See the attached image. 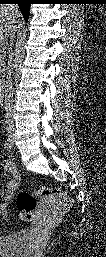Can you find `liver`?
Wrapping results in <instances>:
<instances>
[{"label":"liver","instance_id":"obj_1","mask_svg":"<svg viewBox=\"0 0 106 257\" xmlns=\"http://www.w3.org/2000/svg\"><path fill=\"white\" fill-rule=\"evenodd\" d=\"M20 17V12L16 6L6 5L0 7V38L6 40L12 29L15 28Z\"/></svg>","mask_w":106,"mask_h":257}]
</instances>
